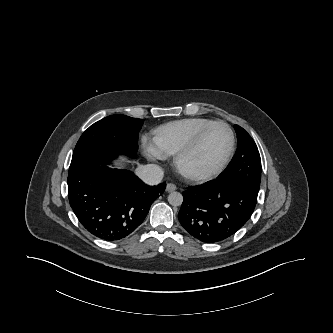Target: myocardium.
Listing matches in <instances>:
<instances>
[{"label": "myocardium", "instance_id": "myocardium-1", "mask_svg": "<svg viewBox=\"0 0 333 333\" xmlns=\"http://www.w3.org/2000/svg\"><path fill=\"white\" fill-rule=\"evenodd\" d=\"M214 126H223L227 129L229 136H230V146L228 149V152L223 159V161L220 163V165L215 168L214 170L207 172V173H197L190 171L185 167V160L193 154L196 149L201 144L202 140L206 136V134L214 127ZM235 151V135L232 130V128L224 121H214L204 127L202 130L198 132V134L193 138V140L182 150H180L174 159V164L177 170L187 179L193 180V181H199V182H205L212 180L219 176L228 166L229 162L232 159V156Z\"/></svg>", "mask_w": 333, "mask_h": 333}]
</instances>
